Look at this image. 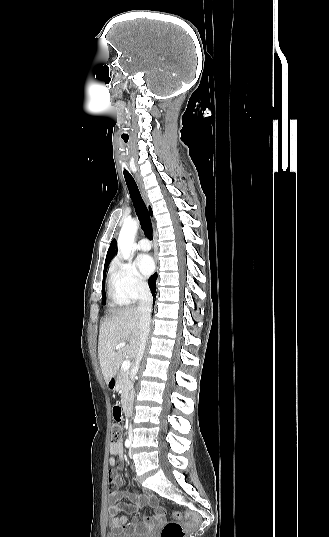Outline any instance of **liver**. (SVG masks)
<instances>
[{"mask_svg":"<svg viewBox=\"0 0 329 537\" xmlns=\"http://www.w3.org/2000/svg\"><path fill=\"white\" fill-rule=\"evenodd\" d=\"M128 342L120 349L119 343ZM140 344V317L136 308L112 312L100 327L98 358L106 383L113 378L122 361L135 358Z\"/></svg>","mask_w":329,"mask_h":537,"instance_id":"1","label":"liver"}]
</instances>
